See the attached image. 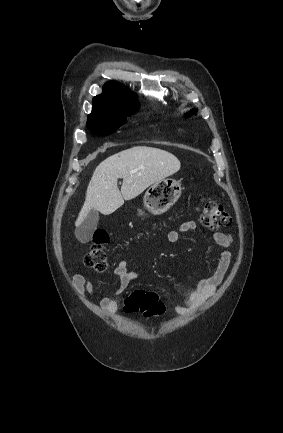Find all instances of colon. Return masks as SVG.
Segmentation results:
<instances>
[{
    "label": "colon",
    "mask_w": 283,
    "mask_h": 433,
    "mask_svg": "<svg viewBox=\"0 0 283 433\" xmlns=\"http://www.w3.org/2000/svg\"><path fill=\"white\" fill-rule=\"evenodd\" d=\"M202 224L213 231L228 227L231 224L230 215L224 210L219 202L206 200L201 207ZM108 237L99 233L94 237L93 243L84 254V264L98 272H104L109 267L104 245ZM124 309L126 312L141 313L145 317H158L164 311V305L158 295L154 292L137 290L125 299Z\"/></svg>",
    "instance_id": "colon-1"
}]
</instances>
